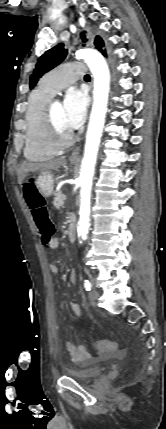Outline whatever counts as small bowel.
<instances>
[{
	"label": "small bowel",
	"mask_w": 166,
	"mask_h": 429,
	"mask_svg": "<svg viewBox=\"0 0 166 429\" xmlns=\"http://www.w3.org/2000/svg\"><path fill=\"white\" fill-rule=\"evenodd\" d=\"M48 246L50 249L56 250L59 247V241L57 239H52L48 243ZM49 268H50V271L54 274H58L60 272L56 264H51ZM69 279L72 283H75L76 272L74 270L70 271ZM70 306L72 311L76 314V316L82 319L83 315H82V310L80 306L74 301L70 302ZM65 347L72 361L82 366H86L92 362L98 361L97 358H93L90 355V353L88 352L87 348L84 345H75L74 343L68 341L66 342Z\"/></svg>",
	"instance_id": "1"
}]
</instances>
